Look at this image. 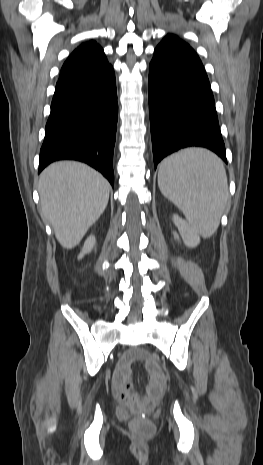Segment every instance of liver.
<instances>
[{"label": "liver", "mask_w": 263, "mask_h": 465, "mask_svg": "<svg viewBox=\"0 0 263 465\" xmlns=\"http://www.w3.org/2000/svg\"><path fill=\"white\" fill-rule=\"evenodd\" d=\"M38 191L42 216L62 247L72 249L104 212L110 184L85 164L60 161L42 171Z\"/></svg>", "instance_id": "1"}]
</instances>
